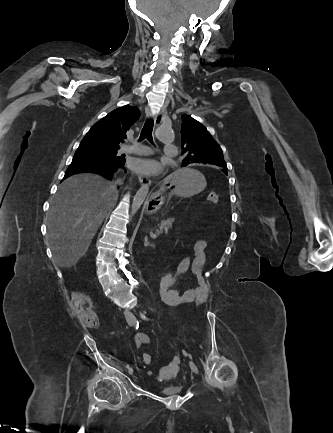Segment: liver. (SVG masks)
<instances>
[{
    "instance_id": "1",
    "label": "liver",
    "mask_w": 333,
    "mask_h": 433,
    "mask_svg": "<svg viewBox=\"0 0 333 433\" xmlns=\"http://www.w3.org/2000/svg\"><path fill=\"white\" fill-rule=\"evenodd\" d=\"M117 195L114 182L93 173L71 176L60 185L47 215L48 239L58 266H75L86 254Z\"/></svg>"
}]
</instances>
